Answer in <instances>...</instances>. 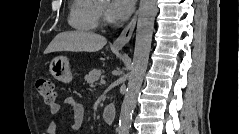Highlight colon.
<instances>
[{
    "label": "colon",
    "instance_id": "1",
    "mask_svg": "<svg viewBox=\"0 0 239 134\" xmlns=\"http://www.w3.org/2000/svg\"><path fill=\"white\" fill-rule=\"evenodd\" d=\"M38 94L47 104H54L55 93L53 83L48 78H39L36 82Z\"/></svg>",
    "mask_w": 239,
    "mask_h": 134
}]
</instances>
